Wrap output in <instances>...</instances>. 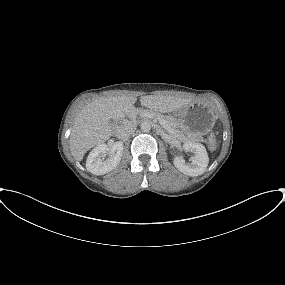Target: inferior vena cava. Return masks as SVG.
Segmentation results:
<instances>
[{
  "label": "inferior vena cava",
  "instance_id": "inferior-vena-cava-1",
  "mask_svg": "<svg viewBox=\"0 0 285 285\" xmlns=\"http://www.w3.org/2000/svg\"><path fill=\"white\" fill-rule=\"evenodd\" d=\"M136 130V125L133 123H127L124 125H121L117 130H116V135L119 139H123L126 137H129L132 133H134Z\"/></svg>",
  "mask_w": 285,
  "mask_h": 285
}]
</instances>
